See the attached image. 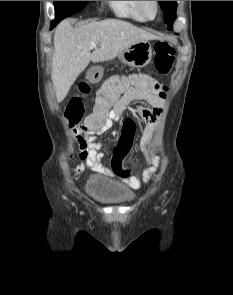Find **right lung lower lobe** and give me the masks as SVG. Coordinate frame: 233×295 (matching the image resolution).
<instances>
[{"mask_svg": "<svg viewBox=\"0 0 233 295\" xmlns=\"http://www.w3.org/2000/svg\"><path fill=\"white\" fill-rule=\"evenodd\" d=\"M59 22H60V20H58V19L52 21L51 22V28L50 29H53Z\"/></svg>", "mask_w": 233, "mask_h": 295, "instance_id": "98d812e1", "label": "right lung lower lobe"}]
</instances>
